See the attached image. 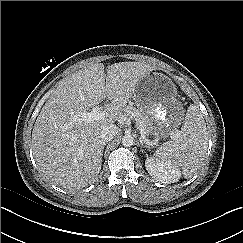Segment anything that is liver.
<instances>
[{
  "label": "liver",
  "mask_w": 243,
  "mask_h": 243,
  "mask_svg": "<svg viewBox=\"0 0 243 243\" xmlns=\"http://www.w3.org/2000/svg\"><path fill=\"white\" fill-rule=\"evenodd\" d=\"M154 66L143 62L94 63L63 79L38 115L32 131L35 160L54 184L74 190L92 183L101 169L100 135L120 121L136 85ZM105 116L86 123L79 115L103 100Z\"/></svg>",
  "instance_id": "liver-1"
}]
</instances>
